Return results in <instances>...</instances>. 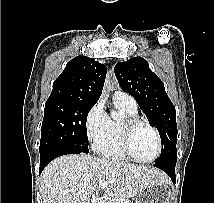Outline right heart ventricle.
<instances>
[{
	"mask_svg": "<svg viewBox=\"0 0 214 203\" xmlns=\"http://www.w3.org/2000/svg\"><path fill=\"white\" fill-rule=\"evenodd\" d=\"M116 106L125 114L126 118H137V108L133 109L121 100L114 98ZM122 122L118 120H110L107 133L97 143H95L96 151L104 157L116 160H128L121 146V128Z\"/></svg>",
	"mask_w": 214,
	"mask_h": 203,
	"instance_id": "1",
	"label": "right heart ventricle"
}]
</instances>
